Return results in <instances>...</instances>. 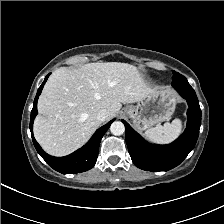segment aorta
<instances>
[{"label":"aorta","mask_w":224,"mask_h":224,"mask_svg":"<svg viewBox=\"0 0 224 224\" xmlns=\"http://www.w3.org/2000/svg\"><path fill=\"white\" fill-rule=\"evenodd\" d=\"M110 131L115 136L122 135L125 132V126L121 121H115L111 124Z\"/></svg>","instance_id":"762f6f07"}]
</instances>
